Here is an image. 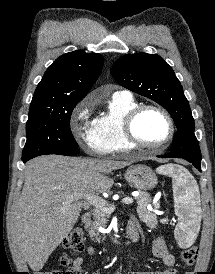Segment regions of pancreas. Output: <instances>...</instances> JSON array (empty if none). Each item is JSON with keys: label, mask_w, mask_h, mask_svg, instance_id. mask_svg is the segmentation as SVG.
I'll return each instance as SVG.
<instances>
[{"label": "pancreas", "mask_w": 215, "mask_h": 274, "mask_svg": "<svg viewBox=\"0 0 215 274\" xmlns=\"http://www.w3.org/2000/svg\"><path fill=\"white\" fill-rule=\"evenodd\" d=\"M137 201V213L139 217L145 221L150 226H156L157 220L156 216L147 209V207L151 204L152 199L150 194L147 192L140 191L139 196L136 198ZM108 204V203H107ZM155 208H159V204L155 205ZM109 214L105 213L100 209H96L93 212V221H89L85 224V228L88 230L89 235L93 238V240L100 242L101 237H99L98 229L99 227H105L107 224V218ZM105 240V237L102 239Z\"/></svg>", "instance_id": "1"}]
</instances>
